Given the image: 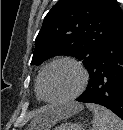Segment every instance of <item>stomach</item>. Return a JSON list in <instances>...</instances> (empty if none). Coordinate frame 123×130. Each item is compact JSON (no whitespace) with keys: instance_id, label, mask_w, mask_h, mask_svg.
Returning <instances> with one entry per match:
<instances>
[{"instance_id":"obj_1","label":"stomach","mask_w":123,"mask_h":130,"mask_svg":"<svg viewBox=\"0 0 123 130\" xmlns=\"http://www.w3.org/2000/svg\"><path fill=\"white\" fill-rule=\"evenodd\" d=\"M55 130H84V126L81 123H65L56 127Z\"/></svg>"}]
</instances>
